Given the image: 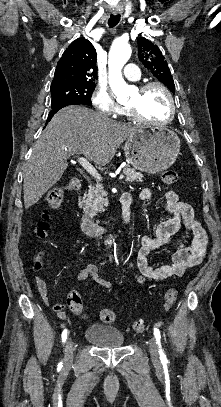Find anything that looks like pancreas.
I'll list each match as a JSON object with an SVG mask.
<instances>
[{
	"mask_svg": "<svg viewBox=\"0 0 221 407\" xmlns=\"http://www.w3.org/2000/svg\"><path fill=\"white\" fill-rule=\"evenodd\" d=\"M123 173L126 175L127 182L133 183L142 181L143 174L129 166H126L123 169ZM106 195L107 194L103 190L101 184L91 186L88 193L84 195V212L90 217H94L97 212H101L103 210V205L107 203V199L104 198Z\"/></svg>",
	"mask_w": 221,
	"mask_h": 407,
	"instance_id": "pancreas-1",
	"label": "pancreas"
}]
</instances>
